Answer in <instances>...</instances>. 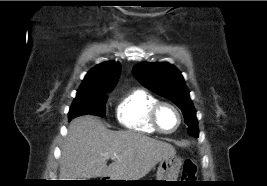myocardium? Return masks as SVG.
I'll return each instance as SVG.
<instances>
[{
	"instance_id": "f54148a6",
	"label": "myocardium",
	"mask_w": 267,
	"mask_h": 186,
	"mask_svg": "<svg viewBox=\"0 0 267 186\" xmlns=\"http://www.w3.org/2000/svg\"><path fill=\"white\" fill-rule=\"evenodd\" d=\"M163 106L171 107L176 112L177 117H178V123H177L176 127L171 131L163 130L159 124V121H158V113H159V110L161 109V107H163ZM149 121L158 133L167 135V134H172V133L176 132L180 128L182 121H183V117H182V113H181L180 109L174 103L169 102V101H157L150 109Z\"/></svg>"
}]
</instances>
